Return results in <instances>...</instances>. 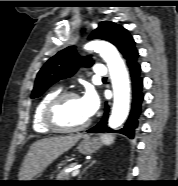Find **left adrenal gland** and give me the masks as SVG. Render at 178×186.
I'll use <instances>...</instances> for the list:
<instances>
[{
  "instance_id": "left-adrenal-gland-1",
  "label": "left adrenal gland",
  "mask_w": 178,
  "mask_h": 186,
  "mask_svg": "<svg viewBox=\"0 0 178 186\" xmlns=\"http://www.w3.org/2000/svg\"><path fill=\"white\" fill-rule=\"evenodd\" d=\"M94 163H96L95 160L92 161V162L83 170V172L79 175V179H78L79 181H80V179H81L83 173H85V172L87 171V169H88L90 166H92Z\"/></svg>"
}]
</instances>
